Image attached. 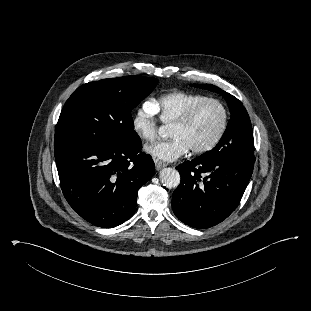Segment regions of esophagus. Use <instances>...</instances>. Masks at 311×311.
I'll use <instances>...</instances> for the list:
<instances>
[{"label": "esophagus", "mask_w": 311, "mask_h": 311, "mask_svg": "<svg viewBox=\"0 0 311 311\" xmlns=\"http://www.w3.org/2000/svg\"><path fill=\"white\" fill-rule=\"evenodd\" d=\"M166 166H167L166 163L161 162V161L155 159V167H156V170H160L161 168H164V167H166Z\"/></svg>", "instance_id": "1"}]
</instances>
